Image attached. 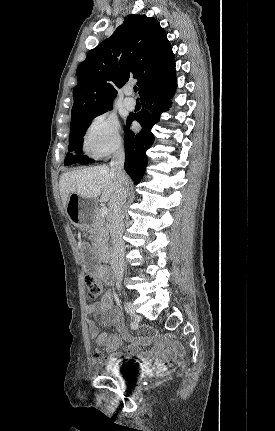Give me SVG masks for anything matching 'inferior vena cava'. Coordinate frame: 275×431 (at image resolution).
Segmentation results:
<instances>
[{"label": "inferior vena cava", "mask_w": 275, "mask_h": 431, "mask_svg": "<svg viewBox=\"0 0 275 431\" xmlns=\"http://www.w3.org/2000/svg\"><path fill=\"white\" fill-rule=\"evenodd\" d=\"M125 154L124 149L119 148L114 152L110 162L111 172L116 182V189L110 201V213L108 217L109 229L113 243L111 255V268L117 279V285L122 281L124 272V223L122 218L123 206L128 195V176L124 171Z\"/></svg>", "instance_id": "602c4592"}]
</instances>
